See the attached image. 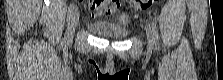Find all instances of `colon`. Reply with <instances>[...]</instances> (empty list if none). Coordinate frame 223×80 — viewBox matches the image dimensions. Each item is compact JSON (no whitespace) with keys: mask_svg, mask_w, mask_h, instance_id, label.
Masks as SVG:
<instances>
[{"mask_svg":"<svg viewBox=\"0 0 223 80\" xmlns=\"http://www.w3.org/2000/svg\"><path fill=\"white\" fill-rule=\"evenodd\" d=\"M95 1H101L108 4H117V5L119 4L117 1L114 0H95ZM156 2H158V0H136L134 8L148 9L152 7Z\"/></svg>","mask_w":223,"mask_h":80,"instance_id":"obj_1","label":"colon"}]
</instances>
